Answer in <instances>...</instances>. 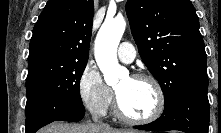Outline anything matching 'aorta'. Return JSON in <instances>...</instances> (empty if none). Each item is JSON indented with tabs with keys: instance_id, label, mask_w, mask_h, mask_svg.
<instances>
[{
	"instance_id": "aorta-1",
	"label": "aorta",
	"mask_w": 221,
	"mask_h": 133,
	"mask_svg": "<svg viewBox=\"0 0 221 133\" xmlns=\"http://www.w3.org/2000/svg\"><path fill=\"white\" fill-rule=\"evenodd\" d=\"M126 28L123 17L106 20L95 40V59L108 85H115L127 70L117 60V47Z\"/></svg>"
}]
</instances>
